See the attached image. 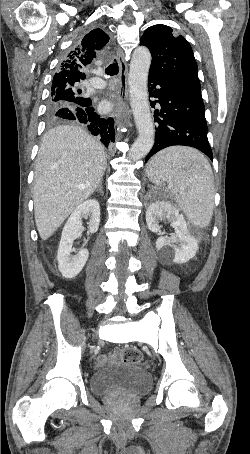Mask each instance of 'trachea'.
<instances>
[{"instance_id": "obj_1", "label": "trachea", "mask_w": 250, "mask_h": 454, "mask_svg": "<svg viewBox=\"0 0 250 454\" xmlns=\"http://www.w3.org/2000/svg\"><path fill=\"white\" fill-rule=\"evenodd\" d=\"M118 71H119V66L116 61L113 62L112 64H110L105 70L106 74L110 75V76L116 75L118 73Z\"/></svg>"}]
</instances>
